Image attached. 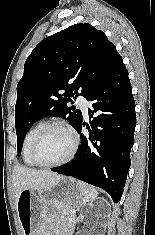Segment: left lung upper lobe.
Masks as SVG:
<instances>
[{"label":"left lung upper lobe","mask_w":155,"mask_h":235,"mask_svg":"<svg viewBox=\"0 0 155 235\" xmlns=\"http://www.w3.org/2000/svg\"><path fill=\"white\" fill-rule=\"evenodd\" d=\"M120 57L105 33L90 24H74L43 39L25 61L17 85V153L30 127L44 116H60L76 128L82 113L67 103L78 95L87 98Z\"/></svg>","instance_id":"obj_1"}]
</instances>
